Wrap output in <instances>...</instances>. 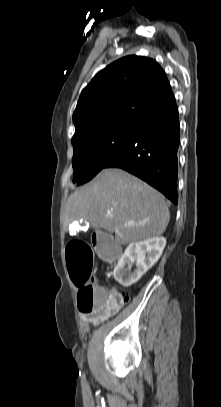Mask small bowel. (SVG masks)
Segmentation results:
<instances>
[{"instance_id":"obj_1","label":"small bowel","mask_w":221,"mask_h":407,"mask_svg":"<svg viewBox=\"0 0 221 407\" xmlns=\"http://www.w3.org/2000/svg\"><path fill=\"white\" fill-rule=\"evenodd\" d=\"M109 316L110 315H100L96 313H91L90 316L88 317V320L92 324H97Z\"/></svg>"}]
</instances>
